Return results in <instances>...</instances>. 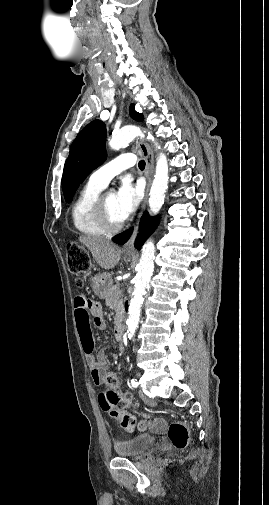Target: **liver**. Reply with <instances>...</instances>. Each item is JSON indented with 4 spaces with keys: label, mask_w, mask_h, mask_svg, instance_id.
<instances>
[{
    "label": "liver",
    "mask_w": 269,
    "mask_h": 505,
    "mask_svg": "<svg viewBox=\"0 0 269 505\" xmlns=\"http://www.w3.org/2000/svg\"><path fill=\"white\" fill-rule=\"evenodd\" d=\"M79 241L90 250L97 264L105 270L113 269L120 261L122 252L111 241L90 236H80Z\"/></svg>",
    "instance_id": "liver-1"
}]
</instances>
